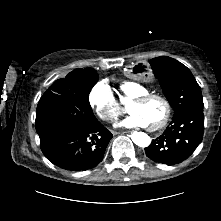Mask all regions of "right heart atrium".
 <instances>
[{"label": "right heart atrium", "mask_w": 221, "mask_h": 221, "mask_svg": "<svg viewBox=\"0 0 221 221\" xmlns=\"http://www.w3.org/2000/svg\"><path fill=\"white\" fill-rule=\"evenodd\" d=\"M89 103L105 122L116 120L122 112L118 99L106 82H98L93 86L89 93Z\"/></svg>", "instance_id": "1"}]
</instances>
